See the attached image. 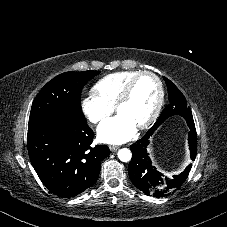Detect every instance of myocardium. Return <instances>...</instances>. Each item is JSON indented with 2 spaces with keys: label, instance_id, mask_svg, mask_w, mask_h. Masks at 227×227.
I'll use <instances>...</instances> for the list:
<instances>
[{
  "label": "myocardium",
  "instance_id": "obj_1",
  "mask_svg": "<svg viewBox=\"0 0 227 227\" xmlns=\"http://www.w3.org/2000/svg\"><path fill=\"white\" fill-rule=\"evenodd\" d=\"M142 76H150L151 78L154 79V81L157 84V88H158V98H157V102L155 105V108L151 114V116L142 124H140L138 127V129H146L148 127H150L152 124L155 123V121L157 120L162 106H163V102H164V88H163V83L161 81V79L153 72L151 71H139L138 73H136L125 85L123 91L121 92L120 96L118 97L116 103H115V110L117 111L118 108L124 104L125 102H127L133 92L134 86L137 82V80L142 77Z\"/></svg>",
  "mask_w": 227,
  "mask_h": 227
}]
</instances>
